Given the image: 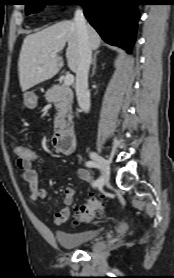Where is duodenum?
<instances>
[{
  "label": "duodenum",
  "mask_w": 174,
  "mask_h": 278,
  "mask_svg": "<svg viewBox=\"0 0 174 278\" xmlns=\"http://www.w3.org/2000/svg\"><path fill=\"white\" fill-rule=\"evenodd\" d=\"M54 147L63 154H70L75 147V133L71 128L57 130L52 136Z\"/></svg>",
  "instance_id": "obj_1"
}]
</instances>
